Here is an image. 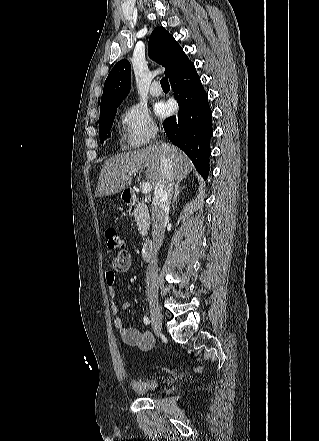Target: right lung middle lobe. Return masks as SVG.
<instances>
[{"label": "right lung middle lobe", "instance_id": "dd1d6c3e", "mask_svg": "<svg viewBox=\"0 0 319 441\" xmlns=\"http://www.w3.org/2000/svg\"><path fill=\"white\" fill-rule=\"evenodd\" d=\"M117 107L118 106L107 107L100 110L99 136L101 143H103L107 137H110V129L116 115Z\"/></svg>", "mask_w": 319, "mask_h": 441}]
</instances>
